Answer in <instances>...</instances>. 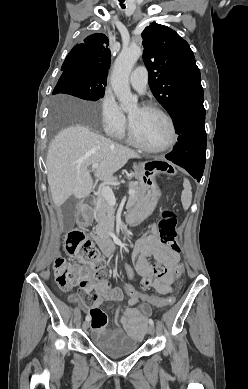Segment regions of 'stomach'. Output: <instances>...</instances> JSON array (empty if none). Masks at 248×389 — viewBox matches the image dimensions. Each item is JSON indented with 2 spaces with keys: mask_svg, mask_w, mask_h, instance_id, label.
Wrapping results in <instances>:
<instances>
[{
  "mask_svg": "<svg viewBox=\"0 0 248 389\" xmlns=\"http://www.w3.org/2000/svg\"><path fill=\"white\" fill-rule=\"evenodd\" d=\"M139 182H135V189L141 191L137 204L129 206V214L126 224L134 226L135 220H146L157 204L161 196V190L156 183L155 177L160 173L165 176H176V164H162L161 161H144L134 164Z\"/></svg>",
  "mask_w": 248,
  "mask_h": 389,
  "instance_id": "stomach-1",
  "label": "stomach"
}]
</instances>
